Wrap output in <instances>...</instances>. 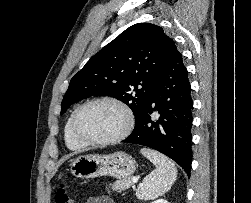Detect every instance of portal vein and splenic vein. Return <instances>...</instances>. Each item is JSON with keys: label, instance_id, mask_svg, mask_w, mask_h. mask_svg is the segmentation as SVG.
<instances>
[{"label": "portal vein and splenic vein", "instance_id": "obj_1", "mask_svg": "<svg viewBox=\"0 0 251 203\" xmlns=\"http://www.w3.org/2000/svg\"><path fill=\"white\" fill-rule=\"evenodd\" d=\"M132 181H133V183H137L138 182V178L137 177H133Z\"/></svg>", "mask_w": 251, "mask_h": 203}]
</instances>
